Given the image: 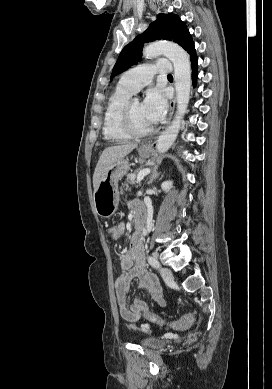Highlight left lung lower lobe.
I'll return each instance as SVG.
<instances>
[{"mask_svg": "<svg viewBox=\"0 0 272 389\" xmlns=\"http://www.w3.org/2000/svg\"><path fill=\"white\" fill-rule=\"evenodd\" d=\"M190 59H191V66H192V79H193V85L195 86L196 78H197V55L195 51V47L191 50Z\"/></svg>", "mask_w": 272, "mask_h": 389, "instance_id": "left-lung-lower-lobe-1", "label": "left lung lower lobe"}]
</instances>
